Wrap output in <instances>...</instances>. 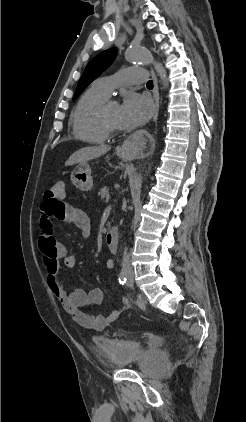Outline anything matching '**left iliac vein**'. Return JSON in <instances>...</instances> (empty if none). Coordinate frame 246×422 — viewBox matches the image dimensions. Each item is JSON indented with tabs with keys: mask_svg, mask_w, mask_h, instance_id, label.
<instances>
[{
	"mask_svg": "<svg viewBox=\"0 0 246 422\" xmlns=\"http://www.w3.org/2000/svg\"><path fill=\"white\" fill-rule=\"evenodd\" d=\"M127 285H128L129 287H132V286H133V282H132L131 280H129V281H128V283H127Z\"/></svg>",
	"mask_w": 246,
	"mask_h": 422,
	"instance_id": "1",
	"label": "left iliac vein"
}]
</instances>
